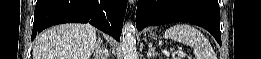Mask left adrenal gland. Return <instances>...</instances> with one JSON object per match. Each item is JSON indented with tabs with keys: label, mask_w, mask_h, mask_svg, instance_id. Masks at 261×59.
Listing matches in <instances>:
<instances>
[{
	"label": "left adrenal gland",
	"mask_w": 261,
	"mask_h": 59,
	"mask_svg": "<svg viewBox=\"0 0 261 59\" xmlns=\"http://www.w3.org/2000/svg\"><path fill=\"white\" fill-rule=\"evenodd\" d=\"M157 56V52H155V49L152 47V43L148 44V52H147V58L153 59Z\"/></svg>",
	"instance_id": "obj_1"
}]
</instances>
